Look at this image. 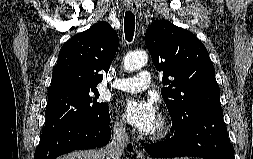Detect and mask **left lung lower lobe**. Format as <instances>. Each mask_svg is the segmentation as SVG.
<instances>
[{
    "instance_id": "0a47b994",
    "label": "left lung lower lobe",
    "mask_w": 253,
    "mask_h": 159,
    "mask_svg": "<svg viewBox=\"0 0 253 159\" xmlns=\"http://www.w3.org/2000/svg\"><path fill=\"white\" fill-rule=\"evenodd\" d=\"M172 130L175 131L173 137L146 146V151L156 158L235 159L222 109H191Z\"/></svg>"
}]
</instances>
